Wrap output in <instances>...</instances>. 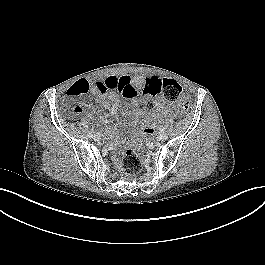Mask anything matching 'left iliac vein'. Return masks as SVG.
<instances>
[{
  "mask_svg": "<svg viewBox=\"0 0 265 265\" xmlns=\"http://www.w3.org/2000/svg\"><path fill=\"white\" fill-rule=\"evenodd\" d=\"M167 139V134L165 132H160L158 135L159 141H165Z\"/></svg>",
  "mask_w": 265,
  "mask_h": 265,
  "instance_id": "4c4485c4",
  "label": "left iliac vein"
}]
</instances>
